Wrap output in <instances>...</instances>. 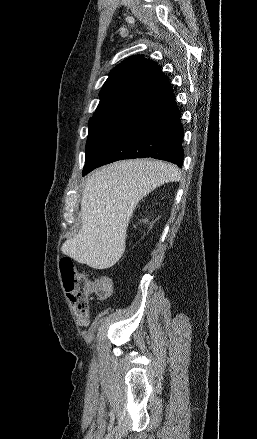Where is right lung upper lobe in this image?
<instances>
[{"label": "right lung upper lobe", "instance_id": "right-lung-upper-lobe-1", "mask_svg": "<svg viewBox=\"0 0 257 439\" xmlns=\"http://www.w3.org/2000/svg\"><path fill=\"white\" fill-rule=\"evenodd\" d=\"M172 93L168 77L152 60L135 55L117 65L100 91L93 117H134Z\"/></svg>", "mask_w": 257, "mask_h": 439}]
</instances>
